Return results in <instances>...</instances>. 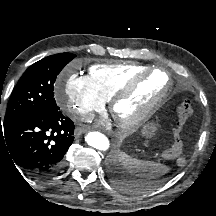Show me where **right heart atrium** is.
<instances>
[{"instance_id":"d8ad5b80","label":"right heart atrium","mask_w":216,"mask_h":216,"mask_svg":"<svg viewBox=\"0 0 216 216\" xmlns=\"http://www.w3.org/2000/svg\"><path fill=\"white\" fill-rule=\"evenodd\" d=\"M55 99L65 114L84 119L102 111L105 106V99L93 87L89 76L68 69L56 82Z\"/></svg>"}]
</instances>
